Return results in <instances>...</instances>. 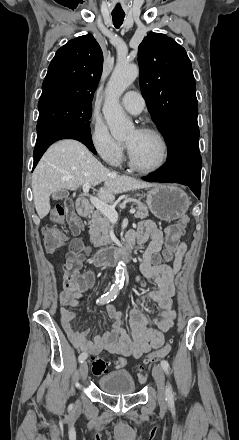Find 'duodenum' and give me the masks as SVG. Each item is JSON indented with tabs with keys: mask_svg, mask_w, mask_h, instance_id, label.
Returning a JSON list of instances; mask_svg holds the SVG:
<instances>
[{
	"mask_svg": "<svg viewBox=\"0 0 239 440\" xmlns=\"http://www.w3.org/2000/svg\"><path fill=\"white\" fill-rule=\"evenodd\" d=\"M77 211L81 216H88L92 212L90 202L86 198L77 201ZM133 255V245L128 243L123 248H109L96 252L91 259L93 265L100 267L108 264H115L127 260Z\"/></svg>",
	"mask_w": 239,
	"mask_h": 440,
	"instance_id": "1",
	"label": "duodenum"
}]
</instances>
